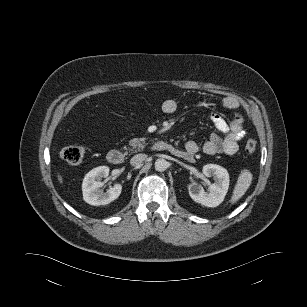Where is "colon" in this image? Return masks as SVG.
I'll return each mask as SVG.
<instances>
[{
  "mask_svg": "<svg viewBox=\"0 0 307 307\" xmlns=\"http://www.w3.org/2000/svg\"><path fill=\"white\" fill-rule=\"evenodd\" d=\"M258 147L255 139H248L245 143L244 150L246 154L252 155L256 152ZM61 158L69 164H78L84 157V150L80 146H67L61 150Z\"/></svg>",
  "mask_w": 307,
  "mask_h": 307,
  "instance_id": "obj_1",
  "label": "colon"
}]
</instances>
